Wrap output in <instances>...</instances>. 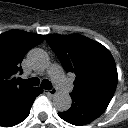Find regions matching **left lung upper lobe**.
<instances>
[{
    "label": "left lung upper lobe",
    "mask_w": 128,
    "mask_h": 128,
    "mask_svg": "<svg viewBox=\"0 0 128 128\" xmlns=\"http://www.w3.org/2000/svg\"><path fill=\"white\" fill-rule=\"evenodd\" d=\"M66 72H74L71 94L112 99L118 75L110 51L100 43L79 34L46 35Z\"/></svg>",
    "instance_id": "obj_1"
}]
</instances>
